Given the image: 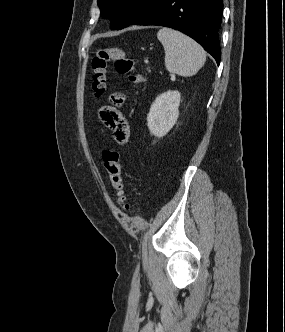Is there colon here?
Here are the masks:
<instances>
[{"mask_svg": "<svg viewBox=\"0 0 285 332\" xmlns=\"http://www.w3.org/2000/svg\"><path fill=\"white\" fill-rule=\"evenodd\" d=\"M111 64L118 73L128 75L134 87H138L145 81L144 76L138 70L136 61L129 57L121 47H100L95 51L91 61L92 90L96 96H101L106 91L107 71ZM103 162L118 204L128 210L129 204L125 200L118 152L104 151Z\"/></svg>", "mask_w": 285, "mask_h": 332, "instance_id": "colon-1", "label": "colon"}]
</instances>
